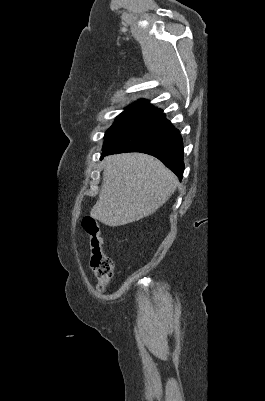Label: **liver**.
I'll return each mask as SVG.
<instances>
[{"instance_id": "1", "label": "liver", "mask_w": 265, "mask_h": 401, "mask_svg": "<svg viewBox=\"0 0 265 401\" xmlns=\"http://www.w3.org/2000/svg\"><path fill=\"white\" fill-rule=\"evenodd\" d=\"M103 180L90 215L109 227L128 225L160 209L177 186V178L158 158L142 152L104 158Z\"/></svg>"}]
</instances>
